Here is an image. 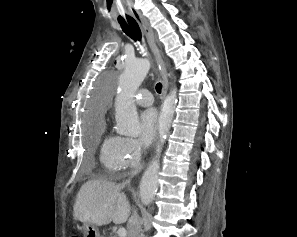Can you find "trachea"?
Masks as SVG:
<instances>
[{
    "instance_id": "obj_1",
    "label": "trachea",
    "mask_w": 297,
    "mask_h": 237,
    "mask_svg": "<svg viewBox=\"0 0 297 237\" xmlns=\"http://www.w3.org/2000/svg\"><path fill=\"white\" fill-rule=\"evenodd\" d=\"M119 24L122 30L124 31V33L128 35L131 39L141 41L142 39L141 30L134 18H127L125 20H120ZM161 90H162V84L159 82L156 84V91L158 93H161Z\"/></svg>"
}]
</instances>
